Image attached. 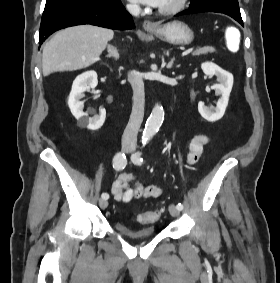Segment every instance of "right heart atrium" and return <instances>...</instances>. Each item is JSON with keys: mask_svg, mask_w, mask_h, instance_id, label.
<instances>
[{"mask_svg": "<svg viewBox=\"0 0 280 283\" xmlns=\"http://www.w3.org/2000/svg\"><path fill=\"white\" fill-rule=\"evenodd\" d=\"M129 11L133 13H137L139 11V7L135 4H129L128 6Z\"/></svg>", "mask_w": 280, "mask_h": 283, "instance_id": "d8ad5b80", "label": "right heart atrium"}]
</instances>
